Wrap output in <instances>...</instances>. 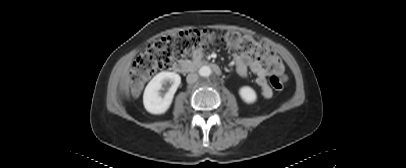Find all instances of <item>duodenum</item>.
<instances>
[{"instance_id":"1","label":"duodenum","mask_w":406,"mask_h":168,"mask_svg":"<svg viewBox=\"0 0 406 168\" xmlns=\"http://www.w3.org/2000/svg\"><path fill=\"white\" fill-rule=\"evenodd\" d=\"M202 67H211L217 75L221 74L217 65L202 60H178L172 64V70L178 73H189Z\"/></svg>"}]
</instances>
